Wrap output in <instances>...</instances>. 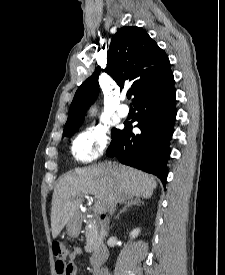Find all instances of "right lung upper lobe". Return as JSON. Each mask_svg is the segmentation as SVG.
I'll return each instance as SVG.
<instances>
[{
  "instance_id": "obj_1",
  "label": "right lung upper lobe",
  "mask_w": 225,
  "mask_h": 275,
  "mask_svg": "<svg viewBox=\"0 0 225 275\" xmlns=\"http://www.w3.org/2000/svg\"><path fill=\"white\" fill-rule=\"evenodd\" d=\"M104 71L121 90L124 86H131L133 102L148 92L162 88L173 78L166 53L143 29L136 26L123 27L113 36ZM100 72L98 66L76 91L65 127L82 121L87 107L98 95Z\"/></svg>"
}]
</instances>
